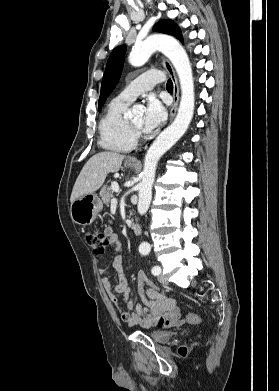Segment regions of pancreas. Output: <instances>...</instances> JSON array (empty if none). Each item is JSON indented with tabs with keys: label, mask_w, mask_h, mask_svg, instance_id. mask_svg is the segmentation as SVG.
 Instances as JSON below:
<instances>
[{
	"label": "pancreas",
	"mask_w": 279,
	"mask_h": 391,
	"mask_svg": "<svg viewBox=\"0 0 279 391\" xmlns=\"http://www.w3.org/2000/svg\"><path fill=\"white\" fill-rule=\"evenodd\" d=\"M114 195V191L111 186L104 185L100 191V197L105 205H109Z\"/></svg>",
	"instance_id": "cf45deb5"
}]
</instances>
